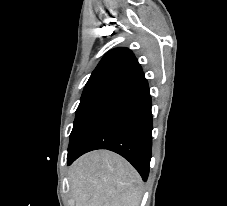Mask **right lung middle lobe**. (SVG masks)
I'll use <instances>...</instances> for the list:
<instances>
[{"label": "right lung middle lobe", "mask_w": 227, "mask_h": 206, "mask_svg": "<svg viewBox=\"0 0 227 206\" xmlns=\"http://www.w3.org/2000/svg\"><path fill=\"white\" fill-rule=\"evenodd\" d=\"M129 86L130 83L115 80L85 86L80 104L76 110V117L70 134L68 155L73 152L98 116L112 102L123 95L128 90Z\"/></svg>", "instance_id": "right-lung-middle-lobe-1"}]
</instances>
